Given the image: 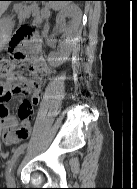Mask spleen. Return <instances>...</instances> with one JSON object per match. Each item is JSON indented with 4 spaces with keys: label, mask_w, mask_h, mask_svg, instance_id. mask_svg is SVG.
<instances>
[{
    "label": "spleen",
    "mask_w": 137,
    "mask_h": 189,
    "mask_svg": "<svg viewBox=\"0 0 137 189\" xmlns=\"http://www.w3.org/2000/svg\"><path fill=\"white\" fill-rule=\"evenodd\" d=\"M70 2H67V1H50L49 4H50V7L55 10V11H58V10H61V9H64L65 7H67L69 5Z\"/></svg>",
    "instance_id": "spleen-1"
}]
</instances>
